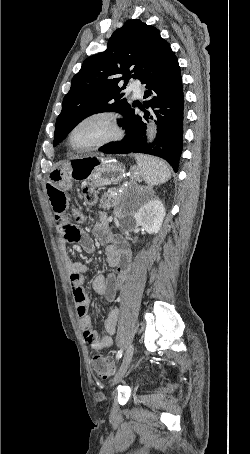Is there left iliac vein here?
<instances>
[{
    "mask_svg": "<svg viewBox=\"0 0 250 454\" xmlns=\"http://www.w3.org/2000/svg\"><path fill=\"white\" fill-rule=\"evenodd\" d=\"M133 353H134V345L133 344H130L124 354V357H123V360H122V364L117 372V374L115 375L113 381H112V385H115L117 384L122 378L123 376L125 375L127 369L129 368V365L131 363V360H132V357H133Z\"/></svg>",
    "mask_w": 250,
    "mask_h": 454,
    "instance_id": "1",
    "label": "left iliac vein"
}]
</instances>
